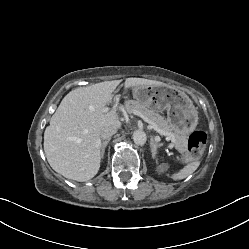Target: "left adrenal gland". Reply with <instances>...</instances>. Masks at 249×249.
Here are the masks:
<instances>
[{"label": "left adrenal gland", "instance_id": "1", "mask_svg": "<svg viewBox=\"0 0 249 249\" xmlns=\"http://www.w3.org/2000/svg\"><path fill=\"white\" fill-rule=\"evenodd\" d=\"M150 145H151V152H152V156L153 158L156 157V153H157V148L161 147L162 144L161 143H156L154 138L151 136L150 138Z\"/></svg>", "mask_w": 249, "mask_h": 249}]
</instances>
